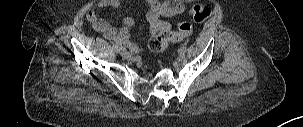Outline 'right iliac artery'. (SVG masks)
<instances>
[{
    "label": "right iliac artery",
    "mask_w": 303,
    "mask_h": 127,
    "mask_svg": "<svg viewBox=\"0 0 303 127\" xmlns=\"http://www.w3.org/2000/svg\"><path fill=\"white\" fill-rule=\"evenodd\" d=\"M112 47H113L114 51L117 52V53H119L120 51L125 50L123 47H119L116 44H113Z\"/></svg>",
    "instance_id": "82829eb1"
}]
</instances>
